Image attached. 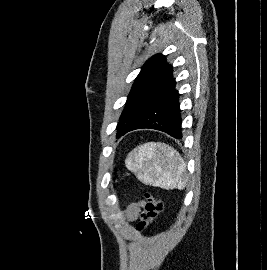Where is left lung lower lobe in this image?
Masks as SVG:
<instances>
[{"label": "left lung lower lobe", "mask_w": 267, "mask_h": 270, "mask_svg": "<svg viewBox=\"0 0 267 270\" xmlns=\"http://www.w3.org/2000/svg\"><path fill=\"white\" fill-rule=\"evenodd\" d=\"M175 84L172 77L161 94L124 134L136 129L149 128L163 131L176 139H181L182 120L178 101L179 94L175 89Z\"/></svg>", "instance_id": "left-lung-lower-lobe-1"}]
</instances>
